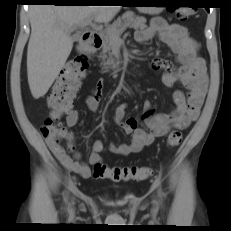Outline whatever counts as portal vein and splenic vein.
Instances as JSON below:
<instances>
[{
  "label": "portal vein and splenic vein",
  "instance_id": "1",
  "mask_svg": "<svg viewBox=\"0 0 231 231\" xmlns=\"http://www.w3.org/2000/svg\"><path fill=\"white\" fill-rule=\"evenodd\" d=\"M92 24V19H87L81 26H87V25H91ZM127 28V25H125L124 27L121 28V30L114 35L115 40H118L120 37V34L123 33Z\"/></svg>",
  "mask_w": 231,
  "mask_h": 231
}]
</instances>
